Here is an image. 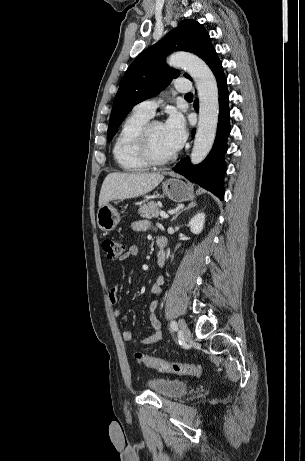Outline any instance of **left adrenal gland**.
<instances>
[{
  "instance_id": "1",
  "label": "left adrenal gland",
  "mask_w": 305,
  "mask_h": 461,
  "mask_svg": "<svg viewBox=\"0 0 305 461\" xmlns=\"http://www.w3.org/2000/svg\"><path fill=\"white\" fill-rule=\"evenodd\" d=\"M195 206H196V203H195V202H190V203L188 204L187 207H185L184 209H181L180 211H178V212L173 216V218L171 219V222H173L174 220H176V218H177L182 212H184V211H186V210H189V209H191V208H193V207H195Z\"/></svg>"
}]
</instances>
